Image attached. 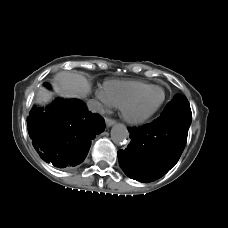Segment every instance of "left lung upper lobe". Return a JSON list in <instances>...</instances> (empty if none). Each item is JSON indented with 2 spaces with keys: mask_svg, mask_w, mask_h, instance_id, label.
Wrapping results in <instances>:
<instances>
[{
  "mask_svg": "<svg viewBox=\"0 0 228 228\" xmlns=\"http://www.w3.org/2000/svg\"><path fill=\"white\" fill-rule=\"evenodd\" d=\"M164 113H176L179 115L190 116L191 109L187 98L182 94H177L165 107Z\"/></svg>",
  "mask_w": 228,
  "mask_h": 228,
  "instance_id": "1",
  "label": "left lung upper lobe"
}]
</instances>
